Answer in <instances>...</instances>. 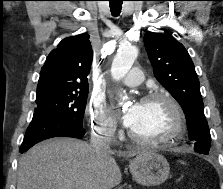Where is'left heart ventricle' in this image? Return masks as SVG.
<instances>
[{"label":"left heart ventricle","instance_id":"left-heart-ventricle-1","mask_svg":"<svg viewBox=\"0 0 223 189\" xmlns=\"http://www.w3.org/2000/svg\"><path fill=\"white\" fill-rule=\"evenodd\" d=\"M173 125V114L165 101L153 100L140 103V115L131 130L142 137H156Z\"/></svg>","mask_w":223,"mask_h":189}]
</instances>
